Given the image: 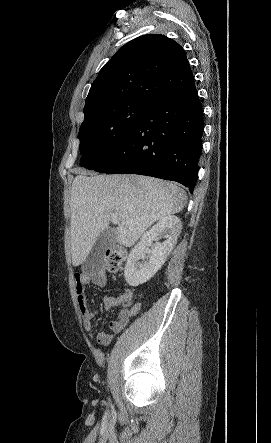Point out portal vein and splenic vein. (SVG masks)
Returning <instances> with one entry per match:
<instances>
[{"label": "portal vein and splenic vein", "instance_id": "obj_1", "mask_svg": "<svg viewBox=\"0 0 271 443\" xmlns=\"http://www.w3.org/2000/svg\"><path fill=\"white\" fill-rule=\"evenodd\" d=\"M111 222H114V223L118 222L117 216H111Z\"/></svg>", "mask_w": 271, "mask_h": 443}]
</instances>
